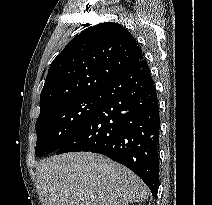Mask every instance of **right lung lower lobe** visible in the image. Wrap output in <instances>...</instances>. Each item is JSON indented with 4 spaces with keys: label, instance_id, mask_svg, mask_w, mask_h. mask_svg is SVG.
Returning <instances> with one entry per match:
<instances>
[{
    "label": "right lung lower lobe",
    "instance_id": "right-lung-lower-lobe-1",
    "mask_svg": "<svg viewBox=\"0 0 212 205\" xmlns=\"http://www.w3.org/2000/svg\"><path fill=\"white\" fill-rule=\"evenodd\" d=\"M100 92L98 107L56 154H103L135 172L157 197L160 117L147 61L128 67Z\"/></svg>",
    "mask_w": 212,
    "mask_h": 205
}]
</instances>
